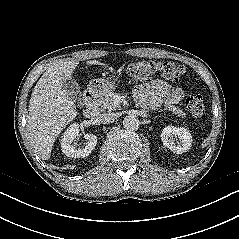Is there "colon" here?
<instances>
[{
	"mask_svg": "<svg viewBox=\"0 0 239 239\" xmlns=\"http://www.w3.org/2000/svg\"><path fill=\"white\" fill-rule=\"evenodd\" d=\"M129 76L138 82L146 81L155 75L163 76L175 82H182L187 74L185 67L173 62H155L141 60L134 62L128 67ZM185 105L189 112L196 117L205 113V104L200 94L188 95L185 99Z\"/></svg>",
	"mask_w": 239,
	"mask_h": 239,
	"instance_id": "5ec220e1",
	"label": "colon"
}]
</instances>
